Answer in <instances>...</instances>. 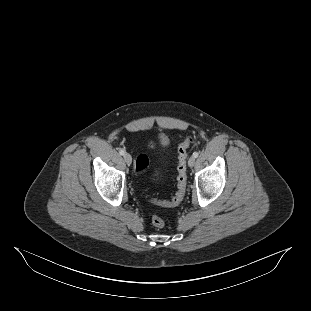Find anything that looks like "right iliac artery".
I'll use <instances>...</instances> for the list:
<instances>
[{
    "label": "right iliac artery",
    "mask_w": 311,
    "mask_h": 311,
    "mask_svg": "<svg viewBox=\"0 0 311 311\" xmlns=\"http://www.w3.org/2000/svg\"><path fill=\"white\" fill-rule=\"evenodd\" d=\"M119 153H120L121 155H124V154H125V150L120 149V150H119Z\"/></svg>",
    "instance_id": "right-iliac-artery-1"
}]
</instances>
